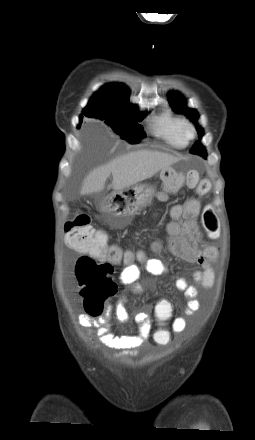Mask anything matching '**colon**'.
Listing matches in <instances>:
<instances>
[{
	"mask_svg": "<svg viewBox=\"0 0 255 440\" xmlns=\"http://www.w3.org/2000/svg\"><path fill=\"white\" fill-rule=\"evenodd\" d=\"M165 193H174L180 187L186 186L196 189L197 193L204 195L209 190L206 180L200 181L196 170L177 172L166 171L162 176ZM165 198V194L161 195ZM201 221L203 227L210 233L217 228L218 217L211 206L202 210ZM66 242L76 252L82 253L77 259L75 272L76 278L83 287L85 308L88 315L96 317L104 309L105 301L111 297L116 286L112 279L114 264L131 262L134 254L121 250L115 245L107 243L106 234L95 230L91 225V218L85 213H80L65 224ZM156 313L161 321L169 318L172 312V303L169 298H156ZM157 348H166L171 340L169 330H156L151 336Z\"/></svg>",
	"mask_w": 255,
	"mask_h": 440,
	"instance_id": "1",
	"label": "colon"
}]
</instances>
